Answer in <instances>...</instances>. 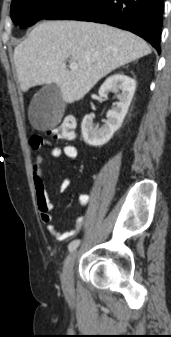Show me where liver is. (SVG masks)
<instances>
[{
  "label": "liver",
  "mask_w": 171,
  "mask_h": 337,
  "mask_svg": "<svg viewBox=\"0 0 171 337\" xmlns=\"http://www.w3.org/2000/svg\"><path fill=\"white\" fill-rule=\"evenodd\" d=\"M151 53L137 35L105 24L45 21L14 49V63L22 91L56 84L66 103L82 99L111 71ZM78 64L66 67V60Z\"/></svg>",
  "instance_id": "1"
}]
</instances>
